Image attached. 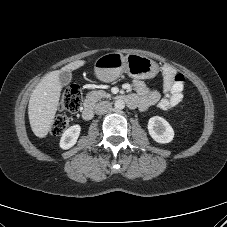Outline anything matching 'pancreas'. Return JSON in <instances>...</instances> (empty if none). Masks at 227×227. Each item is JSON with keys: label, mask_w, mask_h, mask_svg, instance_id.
Masks as SVG:
<instances>
[{"label": "pancreas", "mask_w": 227, "mask_h": 227, "mask_svg": "<svg viewBox=\"0 0 227 227\" xmlns=\"http://www.w3.org/2000/svg\"><path fill=\"white\" fill-rule=\"evenodd\" d=\"M109 97H111V95L103 90L91 91L86 96L87 100L93 103L102 98H109Z\"/></svg>", "instance_id": "obj_1"}]
</instances>
